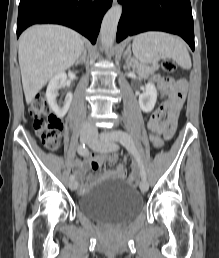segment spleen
Wrapping results in <instances>:
<instances>
[{"label":"spleen","mask_w":219,"mask_h":258,"mask_svg":"<svg viewBox=\"0 0 219 258\" xmlns=\"http://www.w3.org/2000/svg\"><path fill=\"white\" fill-rule=\"evenodd\" d=\"M133 54L140 62L151 64L171 58L184 69L191 68V58L182 39L164 32L149 31L134 37Z\"/></svg>","instance_id":"3e777b00"}]
</instances>
